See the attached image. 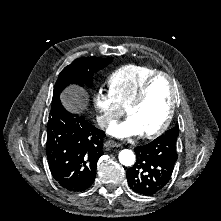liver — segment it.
<instances>
[{
	"instance_id": "6515ba94",
	"label": "liver",
	"mask_w": 221,
	"mask_h": 221,
	"mask_svg": "<svg viewBox=\"0 0 221 221\" xmlns=\"http://www.w3.org/2000/svg\"><path fill=\"white\" fill-rule=\"evenodd\" d=\"M83 97L84 94L81 92V90L72 86L62 93L61 101L69 111L78 112L87 108L86 101Z\"/></svg>"
}]
</instances>
